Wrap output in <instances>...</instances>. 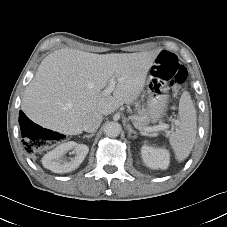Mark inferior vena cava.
<instances>
[{
	"label": "inferior vena cava",
	"instance_id": "inferior-vena-cava-1",
	"mask_svg": "<svg viewBox=\"0 0 227 227\" xmlns=\"http://www.w3.org/2000/svg\"><path fill=\"white\" fill-rule=\"evenodd\" d=\"M103 120V115L100 113H94L88 115L85 119L83 130L86 132H95Z\"/></svg>",
	"mask_w": 227,
	"mask_h": 227
}]
</instances>
